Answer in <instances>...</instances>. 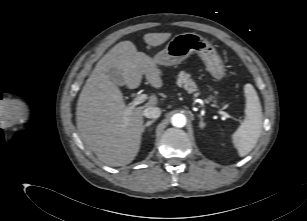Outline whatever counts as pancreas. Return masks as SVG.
<instances>
[{"mask_svg":"<svg viewBox=\"0 0 307 221\" xmlns=\"http://www.w3.org/2000/svg\"><path fill=\"white\" fill-rule=\"evenodd\" d=\"M177 85L183 87L188 93H196L198 87L195 82L190 78V74L185 73L184 71L180 72L177 78ZM198 93H196L197 95ZM213 96H210L206 101L209 102L213 100Z\"/></svg>","mask_w":307,"mask_h":221,"instance_id":"1","label":"pancreas"}]
</instances>
